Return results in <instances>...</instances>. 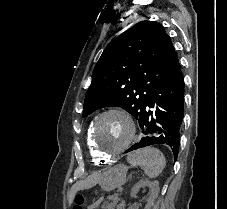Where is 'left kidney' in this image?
I'll use <instances>...</instances> for the list:
<instances>
[{"label":"left kidney","instance_id":"left-kidney-1","mask_svg":"<svg viewBox=\"0 0 227 209\" xmlns=\"http://www.w3.org/2000/svg\"><path fill=\"white\" fill-rule=\"evenodd\" d=\"M144 187H149L150 195L149 201L145 207V209H151L155 203V199H157L160 191L158 181H148V179H142L139 183L134 185L133 189H131V197H136L137 193H139L140 189H144Z\"/></svg>","mask_w":227,"mask_h":209}]
</instances>
